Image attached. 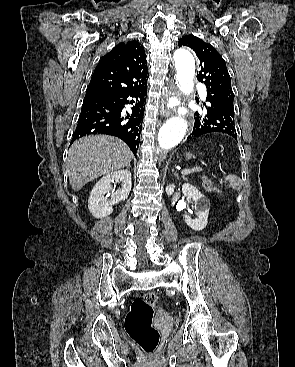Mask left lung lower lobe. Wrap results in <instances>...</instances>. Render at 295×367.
<instances>
[{
    "mask_svg": "<svg viewBox=\"0 0 295 367\" xmlns=\"http://www.w3.org/2000/svg\"><path fill=\"white\" fill-rule=\"evenodd\" d=\"M195 123L188 138H196L211 132H221L237 139L234 125V108L222 103L209 102L204 114L194 115Z\"/></svg>",
    "mask_w": 295,
    "mask_h": 367,
    "instance_id": "1",
    "label": "left lung lower lobe"
}]
</instances>
